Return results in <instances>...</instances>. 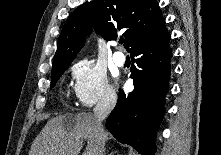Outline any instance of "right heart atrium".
Instances as JSON below:
<instances>
[{"instance_id":"obj_1","label":"right heart atrium","mask_w":221,"mask_h":155,"mask_svg":"<svg viewBox=\"0 0 221 155\" xmlns=\"http://www.w3.org/2000/svg\"><path fill=\"white\" fill-rule=\"evenodd\" d=\"M71 74L74 95L81 107L111 106L116 102L117 94L106 71L95 61L89 59L76 61L71 67Z\"/></svg>"}]
</instances>
